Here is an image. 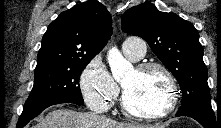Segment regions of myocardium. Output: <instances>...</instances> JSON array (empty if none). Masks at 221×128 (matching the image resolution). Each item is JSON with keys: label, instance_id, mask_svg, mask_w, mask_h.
Returning <instances> with one entry per match:
<instances>
[{"label": "myocardium", "instance_id": "obj_1", "mask_svg": "<svg viewBox=\"0 0 221 128\" xmlns=\"http://www.w3.org/2000/svg\"><path fill=\"white\" fill-rule=\"evenodd\" d=\"M135 70L138 73H144L150 70H156L162 74L167 85H168V97L165 102V106L157 111H147V112H136L130 109L126 102L125 91L122 90V95L120 98V105L123 113L132 119L136 120H155L168 116L175 108L178 96V89L176 79L172 72L163 64L156 62H145L138 65Z\"/></svg>", "mask_w": 221, "mask_h": 128}]
</instances>
